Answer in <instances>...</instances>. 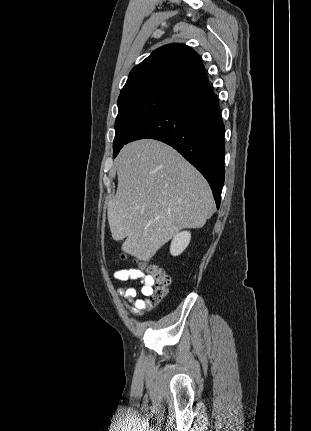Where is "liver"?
Segmentation results:
<instances>
[{
    "label": "liver",
    "instance_id": "1",
    "mask_svg": "<svg viewBox=\"0 0 311 431\" xmlns=\"http://www.w3.org/2000/svg\"><path fill=\"white\" fill-rule=\"evenodd\" d=\"M118 188L107 204L113 239L125 253L149 261L184 227H203L214 200L205 178L176 150L137 140L117 160Z\"/></svg>",
    "mask_w": 311,
    "mask_h": 431
}]
</instances>
